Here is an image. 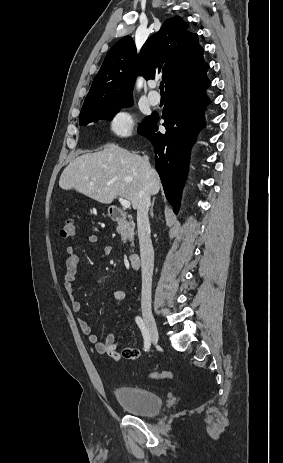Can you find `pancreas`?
<instances>
[{
    "mask_svg": "<svg viewBox=\"0 0 283 463\" xmlns=\"http://www.w3.org/2000/svg\"><path fill=\"white\" fill-rule=\"evenodd\" d=\"M134 228L135 225L133 223L124 222L122 224H118L116 230L121 235V240L126 243L128 240L133 241Z\"/></svg>",
    "mask_w": 283,
    "mask_h": 463,
    "instance_id": "obj_1",
    "label": "pancreas"
}]
</instances>
